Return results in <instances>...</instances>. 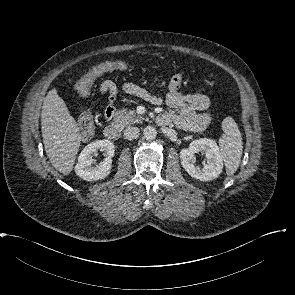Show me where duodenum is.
<instances>
[{"instance_id":"duodenum-1","label":"duodenum","mask_w":295,"mask_h":295,"mask_svg":"<svg viewBox=\"0 0 295 295\" xmlns=\"http://www.w3.org/2000/svg\"><path fill=\"white\" fill-rule=\"evenodd\" d=\"M158 121L162 123L161 117H159ZM104 135L108 140H118L121 135V129L116 123L109 124L104 128Z\"/></svg>"}]
</instances>
